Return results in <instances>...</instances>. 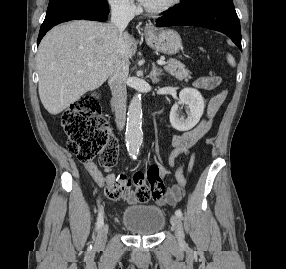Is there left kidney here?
Segmentation results:
<instances>
[{"label": "left kidney", "mask_w": 286, "mask_h": 269, "mask_svg": "<svg viewBox=\"0 0 286 269\" xmlns=\"http://www.w3.org/2000/svg\"><path fill=\"white\" fill-rule=\"evenodd\" d=\"M180 101L170 111V123L178 131L192 129L203 115L205 104L201 93L193 88H185L179 94ZM179 105H185L188 116L180 117Z\"/></svg>", "instance_id": "5707ae66"}]
</instances>
